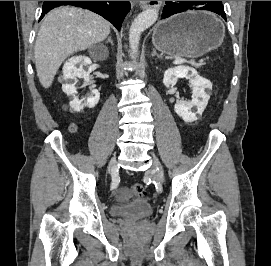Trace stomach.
<instances>
[{"label":"stomach","instance_id":"stomach-1","mask_svg":"<svg viewBox=\"0 0 271 266\" xmlns=\"http://www.w3.org/2000/svg\"><path fill=\"white\" fill-rule=\"evenodd\" d=\"M224 38L222 23L206 11H189L159 22L152 43L162 53L196 58L218 47Z\"/></svg>","mask_w":271,"mask_h":266}]
</instances>
